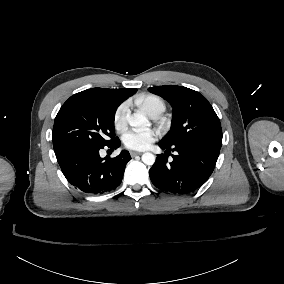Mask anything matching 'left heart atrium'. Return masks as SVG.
Listing matches in <instances>:
<instances>
[{
	"instance_id": "left-heart-atrium-1",
	"label": "left heart atrium",
	"mask_w": 284,
	"mask_h": 284,
	"mask_svg": "<svg viewBox=\"0 0 284 284\" xmlns=\"http://www.w3.org/2000/svg\"><path fill=\"white\" fill-rule=\"evenodd\" d=\"M157 138L153 130L132 128L123 135V142L131 149H145Z\"/></svg>"
}]
</instances>
